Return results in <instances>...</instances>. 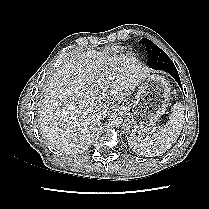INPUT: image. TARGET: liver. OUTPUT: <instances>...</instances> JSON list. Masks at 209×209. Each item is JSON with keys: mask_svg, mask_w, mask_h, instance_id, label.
<instances>
[{"mask_svg": "<svg viewBox=\"0 0 209 209\" xmlns=\"http://www.w3.org/2000/svg\"><path fill=\"white\" fill-rule=\"evenodd\" d=\"M149 76L135 59L95 50L65 62L44 88L40 126L49 143L67 154L89 146L90 124L113 100L128 97Z\"/></svg>", "mask_w": 209, "mask_h": 209, "instance_id": "1", "label": "liver"}]
</instances>
